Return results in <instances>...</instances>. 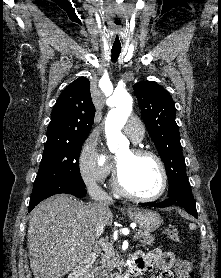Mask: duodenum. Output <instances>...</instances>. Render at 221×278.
Instances as JSON below:
<instances>
[{
  "instance_id": "410a0bca",
  "label": "duodenum",
  "mask_w": 221,
  "mask_h": 278,
  "mask_svg": "<svg viewBox=\"0 0 221 278\" xmlns=\"http://www.w3.org/2000/svg\"><path fill=\"white\" fill-rule=\"evenodd\" d=\"M92 262V257L85 259L78 266H76V268L69 274L68 278H88L87 271L90 268ZM140 273L141 271L137 268L134 259H132L126 274L122 278H135Z\"/></svg>"
}]
</instances>
